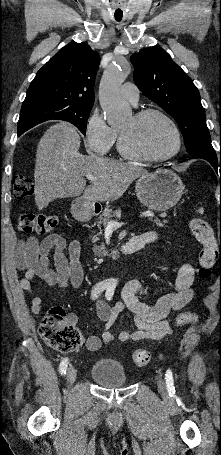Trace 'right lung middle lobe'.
Here are the masks:
<instances>
[{"label": "right lung middle lobe", "instance_id": "right-lung-middle-lobe-1", "mask_svg": "<svg viewBox=\"0 0 221 455\" xmlns=\"http://www.w3.org/2000/svg\"><path fill=\"white\" fill-rule=\"evenodd\" d=\"M93 104L41 102L22 105L18 121V135L33 126L51 119L64 120L75 125L84 135Z\"/></svg>", "mask_w": 221, "mask_h": 455}]
</instances>
